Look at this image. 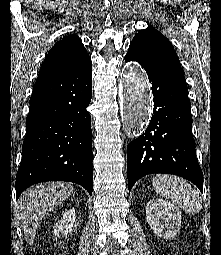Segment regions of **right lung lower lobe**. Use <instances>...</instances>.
<instances>
[{
	"label": "right lung lower lobe",
	"instance_id": "1",
	"mask_svg": "<svg viewBox=\"0 0 221 255\" xmlns=\"http://www.w3.org/2000/svg\"><path fill=\"white\" fill-rule=\"evenodd\" d=\"M90 57L54 77L36 81L26 119L17 198L39 182L68 181L93 191Z\"/></svg>",
	"mask_w": 221,
	"mask_h": 255
}]
</instances>
